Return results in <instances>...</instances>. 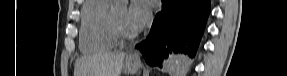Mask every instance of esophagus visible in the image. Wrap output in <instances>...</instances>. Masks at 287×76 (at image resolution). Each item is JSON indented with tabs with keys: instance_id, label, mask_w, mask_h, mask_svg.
<instances>
[{
	"instance_id": "34e87169",
	"label": "esophagus",
	"mask_w": 287,
	"mask_h": 76,
	"mask_svg": "<svg viewBox=\"0 0 287 76\" xmlns=\"http://www.w3.org/2000/svg\"><path fill=\"white\" fill-rule=\"evenodd\" d=\"M131 57H132V58H135V59H138V58H139V56L136 55V54L131 55Z\"/></svg>"
}]
</instances>
